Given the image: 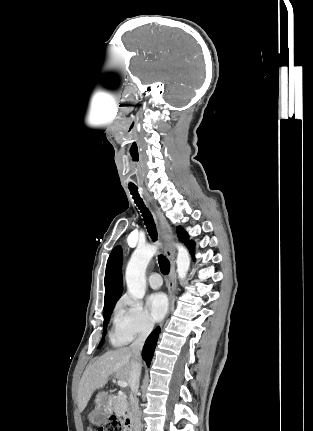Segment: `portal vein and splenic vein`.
Instances as JSON below:
<instances>
[{"label": "portal vein and splenic vein", "instance_id": "1", "mask_svg": "<svg viewBox=\"0 0 313 431\" xmlns=\"http://www.w3.org/2000/svg\"><path fill=\"white\" fill-rule=\"evenodd\" d=\"M117 383L118 386L121 388H126L128 386V383L126 381L119 380Z\"/></svg>", "mask_w": 313, "mask_h": 431}]
</instances>
